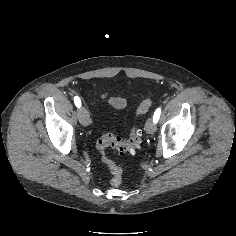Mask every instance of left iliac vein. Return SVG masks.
<instances>
[{"label":"left iliac vein","mask_w":236,"mask_h":236,"mask_svg":"<svg viewBox=\"0 0 236 236\" xmlns=\"http://www.w3.org/2000/svg\"><path fill=\"white\" fill-rule=\"evenodd\" d=\"M145 130L148 134H153L156 131V124L153 119L149 118L145 123Z\"/></svg>","instance_id":"4c4485c4"}]
</instances>
